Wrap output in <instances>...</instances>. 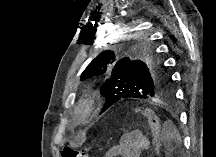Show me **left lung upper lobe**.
Masks as SVG:
<instances>
[{
	"label": "left lung upper lobe",
	"mask_w": 216,
	"mask_h": 157,
	"mask_svg": "<svg viewBox=\"0 0 216 157\" xmlns=\"http://www.w3.org/2000/svg\"><path fill=\"white\" fill-rule=\"evenodd\" d=\"M111 39L108 49L98 55L81 74V80L109 76L101 87L105 104L126 99L154 100L168 98L172 79L161 60L147 48V35H124Z\"/></svg>",
	"instance_id": "1"
}]
</instances>
